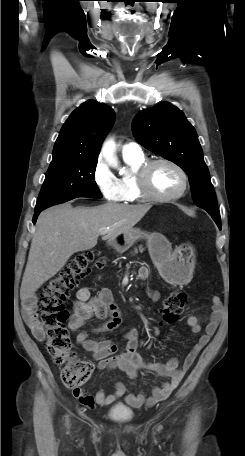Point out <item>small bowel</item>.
<instances>
[{
	"label": "small bowel",
	"instance_id": "1",
	"mask_svg": "<svg viewBox=\"0 0 245 456\" xmlns=\"http://www.w3.org/2000/svg\"><path fill=\"white\" fill-rule=\"evenodd\" d=\"M148 276L149 269L147 267H141L139 269L140 279L146 280ZM147 294L155 302L160 299V293L158 291L147 289ZM211 305L212 312L206 319L204 332L192 346L181 367L176 357L170 358L166 363H148L143 360L137 351L139 332L135 328H130L124 332L123 339L125 345L122 350H119L118 345L113 340L105 336L93 337L91 333L82 331L85 324L91 318L96 317L102 320L103 324L93 329L92 334L101 335L111 332L120 326L121 313L109 289L103 288L97 294L92 295L88 287H80L76 294L74 312L69 319L68 326L72 331H80L76 336V342L83 349L92 353V357L98 362V368L102 370L119 369L131 379L137 376L139 370L147 369L153 371L158 376L167 377L169 380L161 386L154 387L149 398L144 393L134 394L130 392L121 382H117L114 385V391L111 394H106L103 390H99L95 395H92L83 388L78 387L73 390L74 396L82 405L88 408H94L96 405H110L120 397H125L126 403L134 408L152 406L166 399L177 388L185 373L218 328L223 311V304L220 297L213 296L211 298ZM23 317L34 337L39 341H43L44 331L37 318L35 297H30L24 302ZM200 321V318L195 315L187 318V324L193 333H199L201 331Z\"/></svg>",
	"mask_w": 245,
	"mask_h": 456
}]
</instances>
